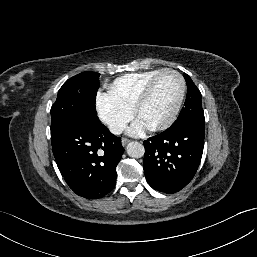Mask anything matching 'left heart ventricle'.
<instances>
[{
	"mask_svg": "<svg viewBox=\"0 0 257 257\" xmlns=\"http://www.w3.org/2000/svg\"><path fill=\"white\" fill-rule=\"evenodd\" d=\"M180 81L174 74H166L157 82L151 97L142 107L138 118L148 128L162 123L174 109L180 94Z\"/></svg>",
	"mask_w": 257,
	"mask_h": 257,
	"instance_id": "left-heart-ventricle-1",
	"label": "left heart ventricle"
}]
</instances>
